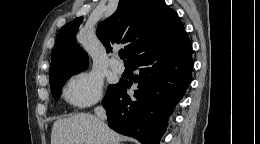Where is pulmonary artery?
I'll list each match as a JSON object with an SVG mask.
<instances>
[{
	"mask_svg": "<svg viewBox=\"0 0 260 144\" xmlns=\"http://www.w3.org/2000/svg\"><path fill=\"white\" fill-rule=\"evenodd\" d=\"M110 67L113 71L117 72V73H122L124 71V66L122 63H120L118 60L116 59H112L110 62Z\"/></svg>",
	"mask_w": 260,
	"mask_h": 144,
	"instance_id": "pulmonary-artery-1",
	"label": "pulmonary artery"
}]
</instances>
